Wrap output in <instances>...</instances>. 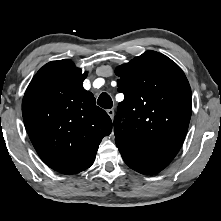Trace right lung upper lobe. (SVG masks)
Masks as SVG:
<instances>
[{"label": "right lung upper lobe", "instance_id": "right-lung-upper-lobe-1", "mask_svg": "<svg viewBox=\"0 0 221 221\" xmlns=\"http://www.w3.org/2000/svg\"><path fill=\"white\" fill-rule=\"evenodd\" d=\"M82 73L71 60L44 65L30 82L22 101L29 138L43 162L62 174L90 167L103 137L112 130L108 114L83 88Z\"/></svg>", "mask_w": 221, "mask_h": 221}]
</instances>
